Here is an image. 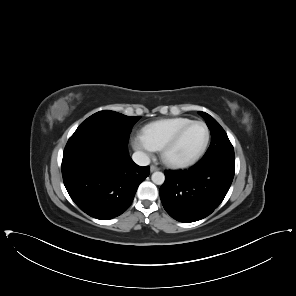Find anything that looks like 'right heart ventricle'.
I'll list each match as a JSON object with an SVG mask.
<instances>
[{
	"label": "right heart ventricle",
	"mask_w": 296,
	"mask_h": 296,
	"mask_svg": "<svg viewBox=\"0 0 296 296\" xmlns=\"http://www.w3.org/2000/svg\"><path fill=\"white\" fill-rule=\"evenodd\" d=\"M190 121L184 117L161 119L145 126L143 135L156 149H161L178 129Z\"/></svg>",
	"instance_id": "right-heart-ventricle-1"
}]
</instances>
